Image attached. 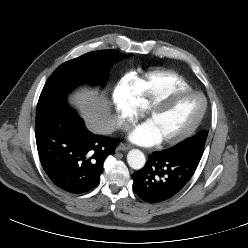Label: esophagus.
<instances>
[{"mask_svg": "<svg viewBox=\"0 0 248 248\" xmlns=\"http://www.w3.org/2000/svg\"><path fill=\"white\" fill-rule=\"evenodd\" d=\"M130 145H127V144H124V143H120L118 146H117V150L119 151H126L128 149H130Z\"/></svg>", "mask_w": 248, "mask_h": 248, "instance_id": "obj_1", "label": "esophagus"}]
</instances>
